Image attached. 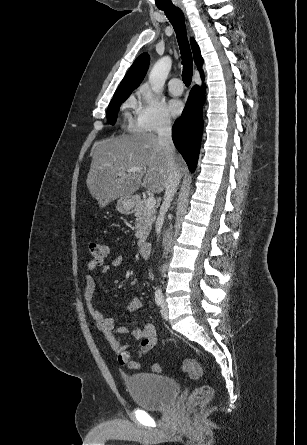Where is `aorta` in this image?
<instances>
[{
    "label": "aorta",
    "instance_id": "obj_1",
    "mask_svg": "<svg viewBox=\"0 0 307 445\" xmlns=\"http://www.w3.org/2000/svg\"><path fill=\"white\" fill-rule=\"evenodd\" d=\"M172 58L171 56H162L155 62L150 74L149 84L154 92H160L165 84V80L171 70ZM159 291V289H158Z\"/></svg>",
    "mask_w": 307,
    "mask_h": 445
}]
</instances>
